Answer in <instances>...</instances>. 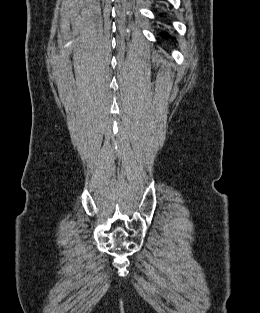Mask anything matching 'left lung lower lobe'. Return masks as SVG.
I'll return each mask as SVG.
<instances>
[{"label": "left lung lower lobe", "instance_id": "0a47b994", "mask_svg": "<svg viewBox=\"0 0 260 313\" xmlns=\"http://www.w3.org/2000/svg\"><path fill=\"white\" fill-rule=\"evenodd\" d=\"M164 36H165V37H167V36H168V34H167V33H165V34H164Z\"/></svg>", "mask_w": 260, "mask_h": 313}]
</instances>
